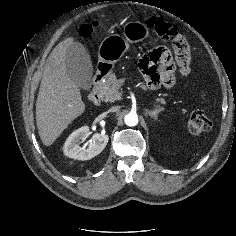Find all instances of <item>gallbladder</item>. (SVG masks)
<instances>
[{
  "label": "gallbladder",
  "instance_id": "bac80fb5",
  "mask_svg": "<svg viewBox=\"0 0 236 236\" xmlns=\"http://www.w3.org/2000/svg\"><path fill=\"white\" fill-rule=\"evenodd\" d=\"M65 68L68 76L81 89L89 91L93 75V66L86 48L74 42L67 51Z\"/></svg>",
  "mask_w": 236,
  "mask_h": 236
}]
</instances>
